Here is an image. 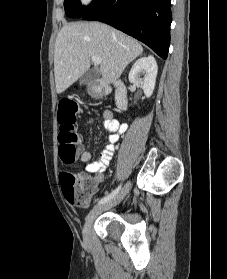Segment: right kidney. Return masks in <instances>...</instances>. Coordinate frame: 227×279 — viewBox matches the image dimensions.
Here are the masks:
<instances>
[{"label": "right kidney", "mask_w": 227, "mask_h": 279, "mask_svg": "<svg viewBox=\"0 0 227 279\" xmlns=\"http://www.w3.org/2000/svg\"><path fill=\"white\" fill-rule=\"evenodd\" d=\"M157 71V63L152 55L142 57L132 66L129 72V81L134 84H140L146 97L149 98L155 88ZM141 73L144 74L143 78L140 76Z\"/></svg>", "instance_id": "ca27d5eb"}]
</instances>
